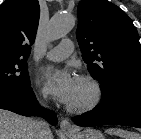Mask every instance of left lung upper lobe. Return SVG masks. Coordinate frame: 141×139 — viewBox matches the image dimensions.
I'll return each mask as SVG.
<instances>
[{"mask_svg": "<svg viewBox=\"0 0 141 139\" xmlns=\"http://www.w3.org/2000/svg\"><path fill=\"white\" fill-rule=\"evenodd\" d=\"M76 37L102 97L141 86V44L132 20L106 0H81Z\"/></svg>", "mask_w": 141, "mask_h": 139, "instance_id": "5c2ea615", "label": "left lung upper lobe"}]
</instances>
